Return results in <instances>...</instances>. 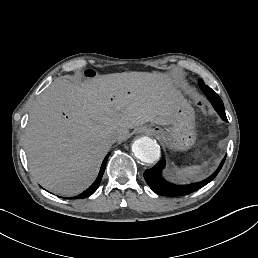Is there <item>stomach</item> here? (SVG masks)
Instances as JSON below:
<instances>
[{"instance_id":"obj_1","label":"stomach","mask_w":258,"mask_h":258,"mask_svg":"<svg viewBox=\"0 0 258 258\" xmlns=\"http://www.w3.org/2000/svg\"><path fill=\"white\" fill-rule=\"evenodd\" d=\"M195 127V111L181 94L176 104L171 126L161 128L151 123L138 128V131L156 136L170 149L186 151L195 144Z\"/></svg>"}]
</instances>
